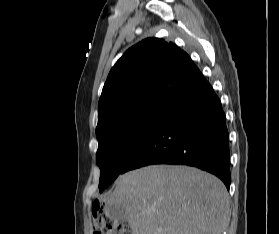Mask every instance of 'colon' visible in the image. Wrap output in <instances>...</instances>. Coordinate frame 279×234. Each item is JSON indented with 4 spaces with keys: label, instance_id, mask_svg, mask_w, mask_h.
<instances>
[{
    "label": "colon",
    "instance_id": "1",
    "mask_svg": "<svg viewBox=\"0 0 279 234\" xmlns=\"http://www.w3.org/2000/svg\"><path fill=\"white\" fill-rule=\"evenodd\" d=\"M93 234H131V232L107 210L99 205L93 207Z\"/></svg>",
    "mask_w": 279,
    "mask_h": 234
}]
</instances>
